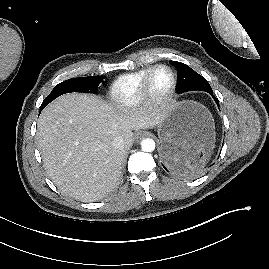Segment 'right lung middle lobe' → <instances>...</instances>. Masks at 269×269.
Segmentation results:
<instances>
[{"mask_svg": "<svg viewBox=\"0 0 269 269\" xmlns=\"http://www.w3.org/2000/svg\"><path fill=\"white\" fill-rule=\"evenodd\" d=\"M105 77L102 76H89L68 79L59 83L52 92L45 98L40 109H44L51 101L62 94L70 92H85L97 93L98 86L103 84Z\"/></svg>", "mask_w": 269, "mask_h": 269, "instance_id": "obj_1", "label": "right lung middle lobe"}]
</instances>
